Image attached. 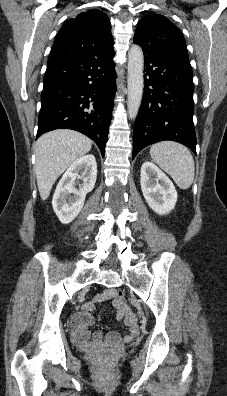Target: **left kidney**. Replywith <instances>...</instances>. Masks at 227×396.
Listing matches in <instances>:
<instances>
[{"label": "left kidney", "instance_id": "5707ae66", "mask_svg": "<svg viewBox=\"0 0 227 396\" xmlns=\"http://www.w3.org/2000/svg\"><path fill=\"white\" fill-rule=\"evenodd\" d=\"M140 183L143 196L154 212L166 215L174 209L178 197L175 187L154 163L142 164Z\"/></svg>", "mask_w": 227, "mask_h": 396}]
</instances>
